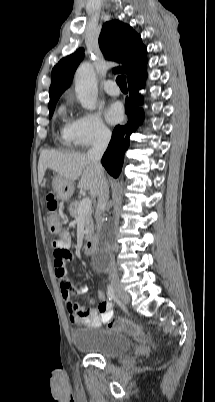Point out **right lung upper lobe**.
<instances>
[{"mask_svg":"<svg viewBox=\"0 0 215 402\" xmlns=\"http://www.w3.org/2000/svg\"><path fill=\"white\" fill-rule=\"evenodd\" d=\"M99 46L107 59L123 66L114 68L115 73H125L128 82L145 75L147 49L131 26L118 20L106 22L99 36ZM84 58V49L62 58L53 68L50 85V100L59 98L70 86L79 63Z\"/></svg>","mask_w":215,"mask_h":402,"instance_id":"obj_1","label":"right lung upper lobe"}]
</instances>
